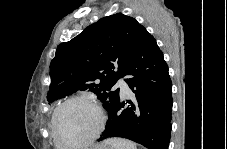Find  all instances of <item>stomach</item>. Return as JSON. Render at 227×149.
<instances>
[{
	"instance_id": "obj_1",
	"label": "stomach",
	"mask_w": 227,
	"mask_h": 149,
	"mask_svg": "<svg viewBox=\"0 0 227 149\" xmlns=\"http://www.w3.org/2000/svg\"><path fill=\"white\" fill-rule=\"evenodd\" d=\"M94 149H110V148H109V146L107 144H101V145H98Z\"/></svg>"
}]
</instances>
